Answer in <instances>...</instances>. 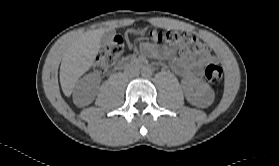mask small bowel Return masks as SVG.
<instances>
[{
    "mask_svg": "<svg viewBox=\"0 0 279 166\" xmlns=\"http://www.w3.org/2000/svg\"><path fill=\"white\" fill-rule=\"evenodd\" d=\"M144 53L150 54L156 57H164L166 53L164 51L152 50L149 47L144 48ZM215 61V58L208 52L199 55L198 59H192L190 57H182L180 59H173V67L175 71L182 76H194L208 63Z\"/></svg>",
    "mask_w": 279,
    "mask_h": 166,
    "instance_id": "1",
    "label": "small bowel"
}]
</instances>
